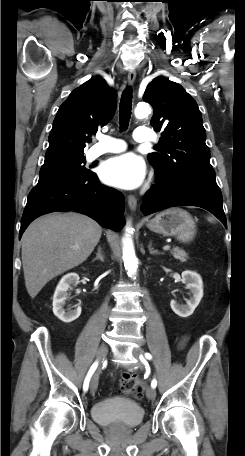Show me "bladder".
<instances>
[{
	"label": "bladder",
	"instance_id": "1",
	"mask_svg": "<svg viewBox=\"0 0 245 456\" xmlns=\"http://www.w3.org/2000/svg\"><path fill=\"white\" fill-rule=\"evenodd\" d=\"M92 419L103 426L134 428L144 418L142 407L129 399L109 398L95 403L91 408Z\"/></svg>",
	"mask_w": 245,
	"mask_h": 456
}]
</instances>
